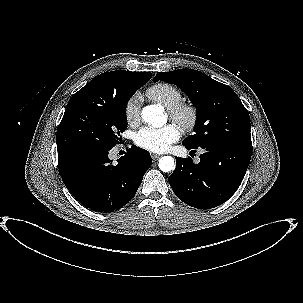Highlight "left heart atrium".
I'll return each mask as SVG.
<instances>
[{"mask_svg":"<svg viewBox=\"0 0 303 303\" xmlns=\"http://www.w3.org/2000/svg\"><path fill=\"white\" fill-rule=\"evenodd\" d=\"M180 131L174 124H167L160 128L143 127L135 137V144L145 150L162 153L167 151L171 144L178 141Z\"/></svg>","mask_w":303,"mask_h":303,"instance_id":"obj_1","label":"left heart atrium"}]
</instances>
